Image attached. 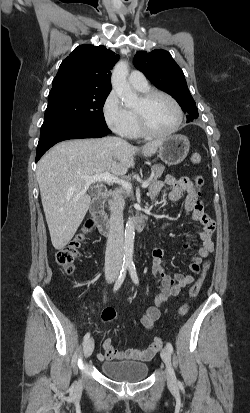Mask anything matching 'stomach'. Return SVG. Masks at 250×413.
<instances>
[{
  "instance_id": "stomach-1",
  "label": "stomach",
  "mask_w": 250,
  "mask_h": 413,
  "mask_svg": "<svg viewBox=\"0 0 250 413\" xmlns=\"http://www.w3.org/2000/svg\"><path fill=\"white\" fill-rule=\"evenodd\" d=\"M189 140L184 135H171L163 140L158 148L159 158L168 165L181 163L189 152Z\"/></svg>"
}]
</instances>
